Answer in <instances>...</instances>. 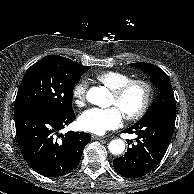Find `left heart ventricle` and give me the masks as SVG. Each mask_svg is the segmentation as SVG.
<instances>
[{
  "label": "left heart ventricle",
  "instance_id": "obj_1",
  "mask_svg": "<svg viewBox=\"0 0 194 194\" xmlns=\"http://www.w3.org/2000/svg\"><path fill=\"white\" fill-rule=\"evenodd\" d=\"M144 96L145 92L143 87L135 85L120 99L111 95L110 105L117 107L123 115L133 113L141 106Z\"/></svg>",
  "mask_w": 194,
  "mask_h": 194
}]
</instances>
